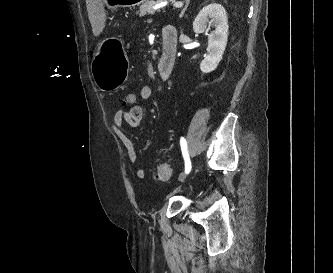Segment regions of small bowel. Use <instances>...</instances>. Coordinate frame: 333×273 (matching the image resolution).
Listing matches in <instances>:
<instances>
[{
	"mask_svg": "<svg viewBox=\"0 0 333 273\" xmlns=\"http://www.w3.org/2000/svg\"><path fill=\"white\" fill-rule=\"evenodd\" d=\"M133 94V93H132ZM152 96V90L149 86H143L140 89V97L143 100H148ZM144 118L143 108L137 105L136 109L126 111L120 108L116 111L113 119V130L117 138L120 140L127 152V157L132 165H134V175L138 179L145 177V170L136 165L137 153L133 141L124 133L123 126L125 123L131 126L139 125Z\"/></svg>",
	"mask_w": 333,
	"mask_h": 273,
	"instance_id": "1",
	"label": "small bowel"
}]
</instances>
